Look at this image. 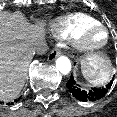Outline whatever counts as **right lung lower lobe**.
I'll use <instances>...</instances> for the list:
<instances>
[{
  "mask_svg": "<svg viewBox=\"0 0 117 117\" xmlns=\"http://www.w3.org/2000/svg\"><path fill=\"white\" fill-rule=\"evenodd\" d=\"M20 99H21V97H19L18 99H15L14 102H17V101H19ZM11 104H13V103H11Z\"/></svg>",
  "mask_w": 117,
  "mask_h": 117,
  "instance_id": "98d812e1",
  "label": "right lung lower lobe"
}]
</instances>
